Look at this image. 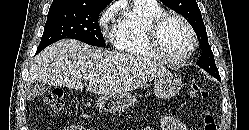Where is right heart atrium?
Instances as JSON below:
<instances>
[{"instance_id":"d8ad5b80","label":"right heart atrium","mask_w":249,"mask_h":130,"mask_svg":"<svg viewBox=\"0 0 249 130\" xmlns=\"http://www.w3.org/2000/svg\"><path fill=\"white\" fill-rule=\"evenodd\" d=\"M117 11V5L112 4L109 7H107L99 16L98 23L100 27H107L112 18L114 17L115 13Z\"/></svg>"}]
</instances>
